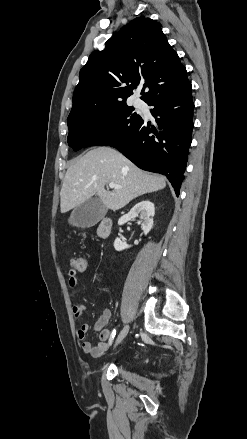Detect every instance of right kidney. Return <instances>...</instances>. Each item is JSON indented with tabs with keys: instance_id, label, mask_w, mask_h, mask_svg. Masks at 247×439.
I'll list each match as a JSON object with an SVG mask.
<instances>
[{
	"instance_id": "1",
	"label": "right kidney",
	"mask_w": 247,
	"mask_h": 439,
	"mask_svg": "<svg viewBox=\"0 0 247 439\" xmlns=\"http://www.w3.org/2000/svg\"><path fill=\"white\" fill-rule=\"evenodd\" d=\"M154 214V204L149 200L141 201L137 203L127 214L119 218L118 225H123L124 223L139 217L140 220H138L137 223L141 225L144 234L147 235L153 226ZM114 248L117 251H122L126 248H129V246L125 242H122L119 238H116L114 241Z\"/></svg>"
}]
</instances>
